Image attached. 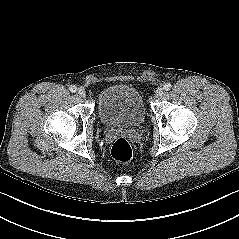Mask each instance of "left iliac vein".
I'll return each instance as SVG.
<instances>
[{
    "mask_svg": "<svg viewBox=\"0 0 239 239\" xmlns=\"http://www.w3.org/2000/svg\"><path fill=\"white\" fill-rule=\"evenodd\" d=\"M164 94V89L162 87L157 88L155 91V98H160Z\"/></svg>",
    "mask_w": 239,
    "mask_h": 239,
    "instance_id": "left-iliac-vein-1",
    "label": "left iliac vein"
}]
</instances>
